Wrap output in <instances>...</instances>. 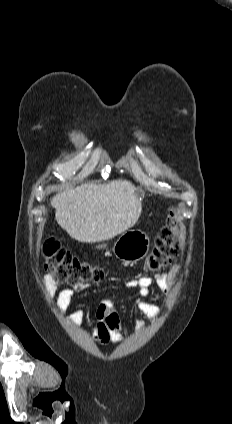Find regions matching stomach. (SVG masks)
<instances>
[{"mask_svg":"<svg viewBox=\"0 0 232 424\" xmlns=\"http://www.w3.org/2000/svg\"><path fill=\"white\" fill-rule=\"evenodd\" d=\"M106 244L98 245L96 248H106ZM150 241L146 233L140 230H129L123 233L116 241L113 252L117 258L125 262H136L148 253Z\"/></svg>","mask_w":232,"mask_h":424,"instance_id":"obj_1","label":"stomach"}]
</instances>
